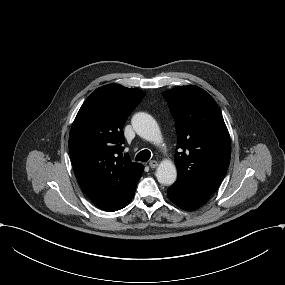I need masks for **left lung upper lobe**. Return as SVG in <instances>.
I'll use <instances>...</instances> for the list:
<instances>
[{"label": "left lung upper lobe", "instance_id": "5c2ea615", "mask_svg": "<svg viewBox=\"0 0 285 285\" xmlns=\"http://www.w3.org/2000/svg\"><path fill=\"white\" fill-rule=\"evenodd\" d=\"M162 95L175 120L176 182L210 197L221 184L231 155L230 136L220 109L211 95L193 85Z\"/></svg>", "mask_w": 285, "mask_h": 285}]
</instances>
